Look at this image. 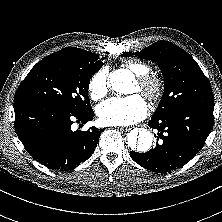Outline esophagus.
Listing matches in <instances>:
<instances>
[{"label":"esophagus","instance_id":"obj_1","mask_svg":"<svg viewBox=\"0 0 222 222\" xmlns=\"http://www.w3.org/2000/svg\"><path fill=\"white\" fill-rule=\"evenodd\" d=\"M119 129H120V131H123V132H127L130 130L129 127H120Z\"/></svg>","mask_w":222,"mask_h":222}]
</instances>
